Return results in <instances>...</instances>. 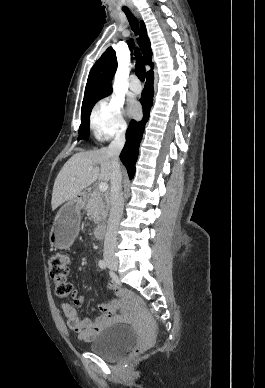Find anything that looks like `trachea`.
Returning a JSON list of instances; mask_svg holds the SVG:
<instances>
[{"label":"trachea","instance_id":"obj_1","mask_svg":"<svg viewBox=\"0 0 265 388\" xmlns=\"http://www.w3.org/2000/svg\"><path fill=\"white\" fill-rule=\"evenodd\" d=\"M124 13L126 14L128 21L130 23L131 29L134 31L135 34L138 33L139 31V23L136 17L130 12V10H123ZM136 55V75L140 78V80H144L146 77V71L144 69V64L142 62V57L138 49L135 51Z\"/></svg>","mask_w":265,"mask_h":388}]
</instances>
